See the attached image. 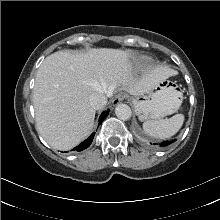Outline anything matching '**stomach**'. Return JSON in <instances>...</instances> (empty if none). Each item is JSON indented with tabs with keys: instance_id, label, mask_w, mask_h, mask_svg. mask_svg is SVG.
I'll use <instances>...</instances> for the list:
<instances>
[{
	"instance_id": "stomach-1",
	"label": "stomach",
	"mask_w": 220,
	"mask_h": 220,
	"mask_svg": "<svg viewBox=\"0 0 220 220\" xmlns=\"http://www.w3.org/2000/svg\"><path fill=\"white\" fill-rule=\"evenodd\" d=\"M140 120H159L175 113L182 103V93L169 80L157 83L141 97L133 99Z\"/></svg>"
}]
</instances>
